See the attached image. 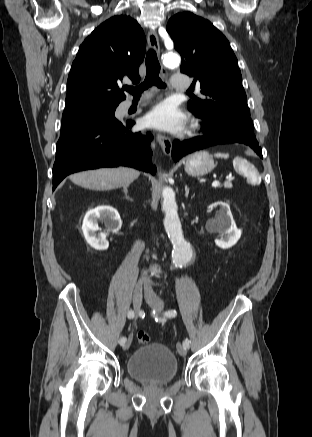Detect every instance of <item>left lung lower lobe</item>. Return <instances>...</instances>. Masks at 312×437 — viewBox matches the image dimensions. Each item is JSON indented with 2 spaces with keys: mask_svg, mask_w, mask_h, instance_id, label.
Instances as JSON below:
<instances>
[{
  "mask_svg": "<svg viewBox=\"0 0 312 437\" xmlns=\"http://www.w3.org/2000/svg\"><path fill=\"white\" fill-rule=\"evenodd\" d=\"M205 135L186 141H175L172 148V157L178 161L186 154L201 150L203 148L228 143H241L250 146L261 158L262 149L257 140H245L234 134L228 127L221 125H209L204 127Z\"/></svg>",
  "mask_w": 312,
  "mask_h": 437,
  "instance_id": "left-lung-lower-lobe-1",
  "label": "left lung lower lobe"
}]
</instances>
